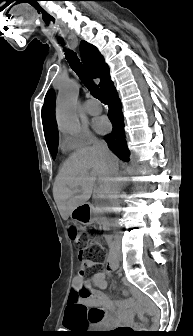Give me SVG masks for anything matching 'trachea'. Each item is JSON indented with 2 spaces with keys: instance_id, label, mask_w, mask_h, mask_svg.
<instances>
[{
  "instance_id": "trachea-1",
  "label": "trachea",
  "mask_w": 193,
  "mask_h": 336,
  "mask_svg": "<svg viewBox=\"0 0 193 336\" xmlns=\"http://www.w3.org/2000/svg\"><path fill=\"white\" fill-rule=\"evenodd\" d=\"M59 43L64 45L63 41H59ZM65 57L72 70L75 71L81 81L88 87L91 95L96 99H99L101 102H106V99L103 96L101 90L96 84H94L90 73L82 65L79 58L77 57V54L73 50L65 49Z\"/></svg>"
}]
</instances>
